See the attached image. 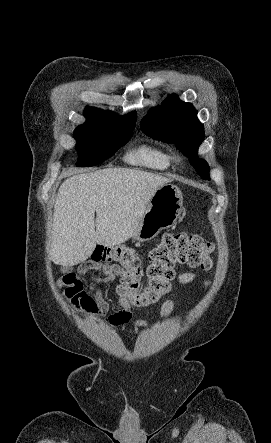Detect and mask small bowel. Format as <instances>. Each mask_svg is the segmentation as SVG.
Returning <instances> with one entry per match:
<instances>
[{
    "label": "small bowel",
    "instance_id": "obj_1",
    "mask_svg": "<svg viewBox=\"0 0 271 443\" xmlns=\"http://www.w3.org/2000/svg\"><path fill=\"white\" fill-rule=\"evenodd\" d=\"M93 270H101L103 275L93 276L89 290L92 294L84 291L82 277L90 275ZM121 267L114 264H99L93 261L84 263L78 272L70 273L57 282L58 287H65L64 298L70 303L72 308L86 315L93 317L104 316L109 310V303L104 297L102 286L111 283L117 276L121 275ZM195 275L191 272H182L179 275V280L182 284L192 282ZM118 289V288H117ZM118 292V290H117ZM119 303L122 310L111 315L107 321L112 326H120L128 323L131 320L130 304L128 300L119 293ZM175 307L172 300L163 303L160 312V318L168 317ZM146 323L144 321L135 322V326L142 327Z\"/></svg>",
    "mask_w": 271,
    "mask_h": 443
}]
</instances>
